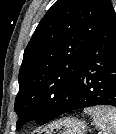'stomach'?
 Segmentation results:
<instances>
[{"instance_id":"1","label":"stomach","mask_w":116,"mask_h":134,"mask_svg":"<svg viewBox=\"0 0 116 134\" xmlns=\"http://www.w3.org/2000/svg\"><path fill=\"white\" fill-rule=\"evenodd\" d=\"M84 121L77 118H63L49 124L40 134H85Z\"/></svg>"}]
</instances>
